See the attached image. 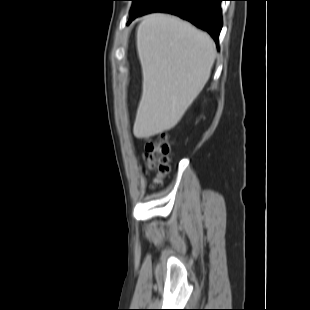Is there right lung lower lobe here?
<instances>
[{"label": "right lung lower lobe", "mask_w": 310, "mask_h": 310, "mask_svg": "<svg viewBox=\"0 0 310 310\" xmlns=\"http://www.w3.org/2000/svg\"><path fill=\"white\" fill-rule=\"evenodd\" d=\"M221 1L222 0H159L149 8L137 14L130 15L128 23L136 17L150 12L171 13L188 20L198 28L208 32L215 40L216 44H218L219 34L222 28Z\"/></svg>", "instance_id": "obj_1"}]
</instances>
